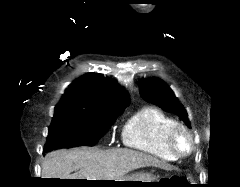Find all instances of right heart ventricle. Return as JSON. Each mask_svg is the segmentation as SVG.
<instances>
[{
	"mask_svg": "<svg viewBox=\"0 0 240 187\" xmlns=\"http://www.w3.org/2000/svg\"><path fill=\"white\" fill-rule=\"evenodd\" d=\"M177 122L156 107H144L124 125L123 144L165 161H176L168 145V134Z\"/></svg>",
	"mask_w": 240,
	"mask_h": 187,
	"instance_id": "obj_1",
	"label": "right heart ventricle"
}]
</instances>
